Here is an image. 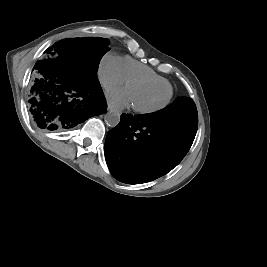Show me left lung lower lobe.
Here are the masks:
<instances>
[{
    "label": "left lung lower lobe",
    "mask_w": 267,
    "mask_h": 267,
    "mask_svg": "<svg viewBox=\"0 0 267 267\" xmlns=\"http://www.w3.org/2000/svg\"><path fill=\"white\" fill-rule=\"evenodd\" d=\"M198 121L176 116L123 114L109 131L105 159L119 181H152L177 166L190 149Z\"/></svg>",
    "instance_id": "obj_1"
}]
</instances>
